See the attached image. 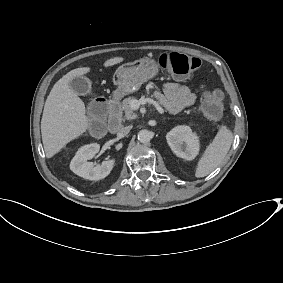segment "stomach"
<instances>
[{
  "instance_id": "1",
  "label": "stomach",
  "mask_w": 283,
  "mask_h": 283,
  "mask_svg": "<svg viewBox=\"0 0 283 283\" xmlns=\"http://www.w3.org/2000/svg\"><path fill=\"white\" fill-rule=\"evenodd\" d=\"M160 67L153 57H143L118 67L113 82L117 85L115 94L128 95L138 91L141 85L159 75Z\"/></svg>"
}]
</instances>
